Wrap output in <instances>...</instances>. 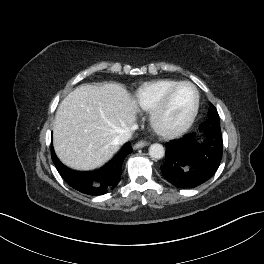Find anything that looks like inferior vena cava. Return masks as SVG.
Masks as SVG:
<instances>
[{
  "label": "inferior vena cava",
  "instance_id": "602c4592",
  "mask_svg": "<svg viewBox=\"0 0 264 264\" xmlns=\"http://www.w3.org/2000/svg\"><path fill=\"white\" fill-rule=\"evenodd\" d=\"M133 130H135V126H132L131 128H127L126 130H124L121 134H119L115 138L114 143L116 145H122V144L126 143L128 140L131 139L132 134H133Z\"/></svg>",
  "mask_w": 264,
  "mask_h": 264
}]
</instances>
